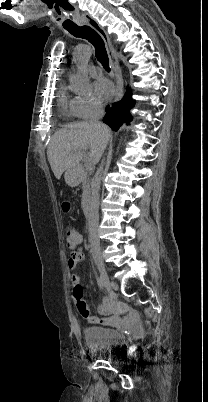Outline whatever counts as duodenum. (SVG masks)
<instances>
[{"mask_svg": "<svg viewBox=\"0 0 208 402\" xmlns=\"http://www.w3.org/2000/svg\"><path fill=\"white\" fill-rule=\"evenodd\" d=\"M82 208L85 213L90 211V199L88 196H85L82 200Z\"/></svg>", "mask_w": 208, "mask_h": 402, "instance_id": "duodenum-1", "label": "duodenum"}]
</instances>
